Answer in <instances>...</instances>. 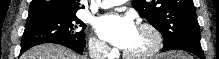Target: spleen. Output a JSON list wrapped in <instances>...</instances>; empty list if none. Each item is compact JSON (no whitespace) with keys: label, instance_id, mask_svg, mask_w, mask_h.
Segmentation results:
<instances>
[{"label":"spleen","instance_id":"1","mask_svg":"<svg viewBox=\"0 0 219 59\" xmlns=\"http://www.w3.org/2000/svg\"><path fill=\"white\" fill-rule=\"evenodd\" d=\"M172 55H173V57H177V59H188L186 57V55H184L182 53H173Z\"/></svg>","mask_w":219,"mask_h":59}]
</instances>
